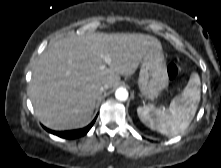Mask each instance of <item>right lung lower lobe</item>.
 Masks as SVG:
<instances>
[{
  "instance_id": "obj_1",
  "label": "right lung lower lobe",
  "mask_w": 221,
  "mask_h": 168,
  "mask_svg": "<svg viewBox=\"0 0 221 168\" xmlns=\"http://www.w3.org/2000/svg\"><path fill=\"white\" fill-rule=\"evenodd\" d=\"M96 120V119H95ZM95 120L89 124L87 127L85 128H82V129H78V130H71V131H61V132H58V131H52V130H49V129H46L48 132L54 134V135H57L59 137H62V138H66V139H75V138H78V137H81L83 135H86L87 132L91 129V127L93 126Z\"/></svg>"
}]
</instances>
